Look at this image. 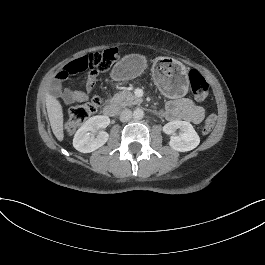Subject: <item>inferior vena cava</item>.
<instances>
[{
    "mask_svg": "<svg viewBox=\"0 0 265 265\" xmlns=\"http://www.w3.org/2000/svg\"><path fill=\"white\" fill-rule=\"evenodd\" d=\"M132 118V111L130 109H124L120 114V121L127 122Z\"/></svg>",
    "mask_w": 265,
    "mask_h": 265,
    "instance_id": "602c4592",
    "label": "inferior vena cava"
}]
</instances>
